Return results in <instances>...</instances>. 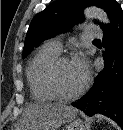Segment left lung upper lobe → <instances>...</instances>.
I'll return each mask as SVG.
<instances>
[{
  "mask_svg": "<svg viewBox=\"0 0 123 130\" xmlns=\"http://www.w3.org/2000/svg\"><path fill=\"white\" fill-rule=\"evenodd\" d=\"M97 6L104 9L112 23L120 5L116 0H57L45 10L38 13L29 26L23 58L43 40L51 38L83 20V9L87 6ZM104 30L106 25L101 24Z\"/></svg>",
  "mask_w": 123,
  "mask_h": 130,
  "instance_id": "5c2ea615",
  "label": "left lung upper lobe"
}]
</instances>
